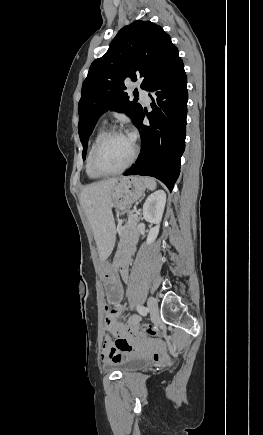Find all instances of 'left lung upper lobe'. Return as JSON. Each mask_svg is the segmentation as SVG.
Listing matches in <instances>:
<instances>
[{
  "mask_svg": "<svg viewBox=\"0 0 263 435\" xmlns=\"http://www.w3.org/2000/svg\"><path fill=\"white\" fill-rule=\"evenodd\" d=\"M179 58L170 36L150 21L137 20L118 32L106 54L91 64L82 86L78 110L83 159L87 140L104 112H125L137 124L142 106L135 100L129 101L124 81L142 78L141 88L149 91Z\"/></svg>",
  "mask_w": 263,
  "mask_h": 435,
  "instance_id": "obj_1",
  "label": "left lung upper lobe"
}]
</instances>
